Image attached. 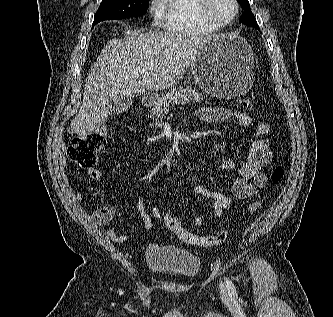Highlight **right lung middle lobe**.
<instances>
[{"mask_svg": "<svg viewBox=\"0 0 333 317\" xmlns=\"http://www.w3.org/2000/svg\"><path fill=\"white\" fill-rule=\"evenodd\" d=\"M148 2L149 0H102L93 26L104 20L142 16L147 11Z\"/></svg>", "mask_w": 333, "mask_h": 317, "instance_id": "obj_1", "label": "right lung middle lobe"}]
</instances>
